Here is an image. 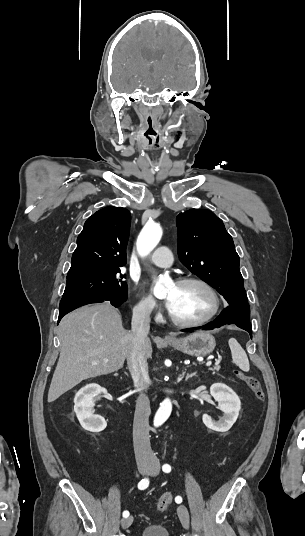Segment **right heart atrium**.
I'll return each mask as SVG.
<instances>
[{
	"mask_svg": "<svg viewBox=\"0 0 305 536\" xmlns=\"http://www.w3.org/2000/svg\"><path fill=\"white\" fill-rule=\"evenodd\" d=\"M156 303L150 297L137 296L133 312L137 317L148 318L156 312Z\"/></svg>",
	"mask_w": 305,
	"mask_h": 536,
	"instance_id": "obj_1",
	"label": "right heart atrium"
}]
</instances>
